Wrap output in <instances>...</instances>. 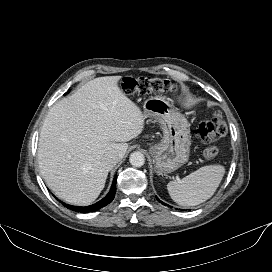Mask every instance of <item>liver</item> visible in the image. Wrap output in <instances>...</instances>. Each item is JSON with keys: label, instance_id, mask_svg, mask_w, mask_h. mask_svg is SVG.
Instances as JSON below:
<instances>
[{"label": "liver", "instance_id": "1", "mask_svg": "<svg viewBox=\"0 0 272 272\" xmlns=\"http://www.w3.org/2000/svg\"><path fill=\"white\" fill-rule=\"evenodd\" d=\"M121 76L95 78L48 112L39 138L38 162L48 187L67 203L88 205L101 193L109 171L102 157L144 129L140 108L118 87Z\"/></svg>", "mask_w": 272, "mask_h": 272}]
</instances>
